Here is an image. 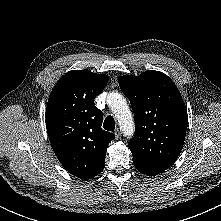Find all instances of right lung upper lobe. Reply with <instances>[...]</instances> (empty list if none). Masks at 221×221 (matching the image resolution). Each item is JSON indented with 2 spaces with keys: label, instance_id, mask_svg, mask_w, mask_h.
Returning <instances> with one entry per match:
<instances>
[{
  "label": "right lung upper lobe",
  "instance_id": "cb5924a9",
  "mask_svg": "<svg viewBox=\"0 0 221 221\" xmlns=\"http://www.w3.org/2000/svg\"><path fill=\"white\" fill-rule=\"evenodd\" d=\"M108 82L105 74L73 70L53 88L46 107L51 146L64 168L81 179H91L104 168L108 144L115 136L102 130L103 115L95 97Z\"/></svg>",
  "mask_w": 221,
  "mask_h": 221
}]
</instances>
